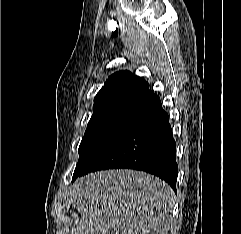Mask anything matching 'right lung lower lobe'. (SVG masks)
Here are the masks:
<instances>
[{
	"mask_svg": "<svg viewBox=\"0 0 241 234\" xmlns=\"http://www.w3.org/2000/svg\"><path fill=\"white\" fill-rule=\"evenodd\" d=\"M128 168L151 173L176 192V142L168 114L153 94L140 103L93 151L78 176L89 172Z\"/></svg>",
	"mask_w": 241,
	"mask_h": 234,
	"instance_id": "98d812e1",
	"label": "right lung lower lobe"
}]
</instances>
